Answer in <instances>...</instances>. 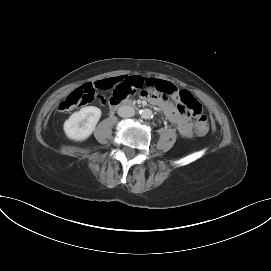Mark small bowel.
Listing matches in <instances>:
<instances>
[{"instance_id":"1","label":"small bowel","mask_w":271,"mask_h":271,"mask_svg":"<svg viewBox=\"0 0 271 271\" xmlns=\"http://www.w3.org/2000/svg\"><path fill=\"white\" fill-rule=\"evenodd\" d=\"M83 86L91 87L96 92L113 88L112 102H127L133 91L135 97L145 98L152 105L160 107L168 119L177 126L182 136H192L191 121L171 102V96L179 102V92L169 81L156 79L155 76H117L86 83Z\"/></svg>"}]
</instances>
